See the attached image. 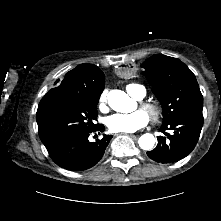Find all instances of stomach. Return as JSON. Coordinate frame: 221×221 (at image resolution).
Listing matches in <instances>:
<instances>
[{
    "instance_id": "1",
    "label": "stomach",
    "mask_w": 221,
    "mask_h": 221,
    "mask_svg": "<svg viewBox=\"0 0 221 221\" xmlns=\"http://www.w3.org/2000/svg\"><path fill=\"white\" fill-rule=\"evenodd\" d=\"M117 75L121 79L134 78L138 74V67L131 62H124L117 68Z\"/></svg>"
}]
</instances>
